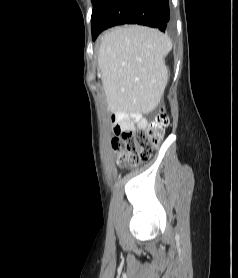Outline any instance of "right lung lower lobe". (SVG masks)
I'll return each instance as SVG.
<instances>
[{"label": "right lung lower lobe", "instance_id": "right-lung-lower-lobe-1", "mask_svg": "<svg viewBox=\"0 0 238 278\" xmlns=\"http://www.w3.org/2000/svg\"><path fill=\"white\" fill-rule=\"evenodd\" d=\"M169 0H97L93 5V40L117 24H142L165 31L169 21Z\"/></svg>", "mask_w": 238, "mask_h": 278}]
</instances>
